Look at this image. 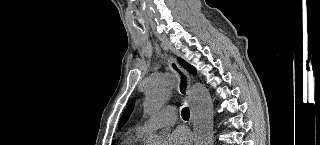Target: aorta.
I'll return each instance as SVG.
<instances>
[{"label":"aorta","mask_w":320,"mask_h":145,"mask_svg":"<svg viewBox=\"0 0 320 145\" xmlns=\"http://www.w3.org/2000/svg\"><path fill=\"white\" fill-rule=\"evenodd\" d=\"M173 77L168 73L158 74L149 80L144 101V109L148 114L158 112L167 102L173 88ZM191 104L194 118V137L196 145H213V102L205 86L193 85ZM149 145H160L156 137H152Z\"/></svg>","instance_id":"762f6f07"}]
</instances>
